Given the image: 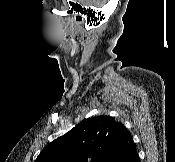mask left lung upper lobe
<instances>
[{"label":"left lung upper lobe","instance_id":"5c2ea615","mask_svg":"<svg viewBox=\"0 0 175 162\" xmlns=\"http://www.w3.org/2000/svg\"><path fill=\"white\" fill-rule=\"evenodd\" d=\"M127 132L110 116L87 118L48 144L35 162H108Z\"/></svg>","mask_w":175,"mask_h":162}]
</instances>
